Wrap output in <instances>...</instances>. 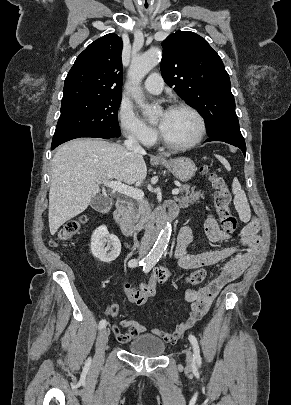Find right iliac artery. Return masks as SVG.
I'll use <instances>...</instances> for the list:
<instances>
[{
    "label": "right iliac artery",
    "instance_id": "obj_1",
    "mask_svg": "<svg viewBox=\"0 0 291 405\" xmlns=\"http://www.w3.org/2000/svg\"><path fill=\"white\" fill-rule=\"evenodd\" d=\"M148 262H150V261H148L147 259H142L140 261H138L137 259H131L128 262V266L130 268H134V267H137V266H145ZM105 326H106V320L103 319L99 323V329H103Z\"/></svg>",
    "mask_w": 291,
    "mask_h": 405
}]
</instances>
